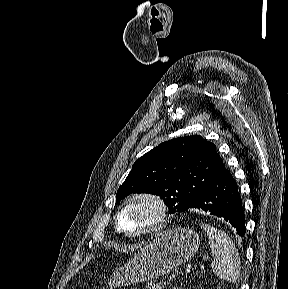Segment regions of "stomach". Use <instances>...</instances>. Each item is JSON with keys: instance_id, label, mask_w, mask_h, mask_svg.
<instances>
[{"instance_id": "1", "label": "stomach", "mask_w": 288, "mask_h": 289, "mask_svg": "<svg viewBox=\"0 0 288 289\" xmlns=\"http://www.w3.org/2000/svg\"><path fill=\"white\" fill-rule=\"evenodd\" d=\"M199 244V235L190 228L167 229L140 249L128 263L117 268L109 279V285L112 289L163 276L191 259Z\"/></svg>"}]
</instances>
